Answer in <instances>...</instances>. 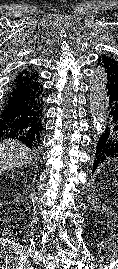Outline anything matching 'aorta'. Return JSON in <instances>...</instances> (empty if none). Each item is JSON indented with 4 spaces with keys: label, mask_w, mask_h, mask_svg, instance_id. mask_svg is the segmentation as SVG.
<instances>
[{
    "label": "aorta",
    "mask_w": 118,
    "mask_h": 269,
    "mask_svg": "<svg viewBox=\"0 0 118 269\" xmlns=\"http://www.w3.org/2000/svg\"><path fill=\"white\" fill-rule=\"evenodd\" d=\"M107 77L103 68H97L93 71L90 78V108L94 127L101 130L105 122V100H106Z\"/></svg>",
    "instance_id": "aorta-1"
}]
</instances>
